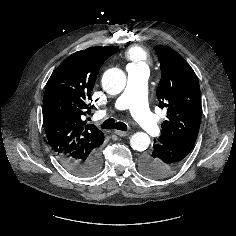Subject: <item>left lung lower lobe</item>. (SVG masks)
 Wrapping results in <instances>:
<instances>
[{
    "mask_svg": "<svg viewBox=\"0 0 236 236\" xmlns=\"http://www.w3.org/2000/svg\"><path fill=\"white\" fill-rule=\"evenodd\" d=\"M195 142L179 141L170 144L155 143L150 153L141 159L143 172L155 179L168 177L184 163Z\"/></svg>",
    "mask_w": 236,
    "mask_h": 236,
    "instance_id": "obj_1",
    "label": "left lung lower lobe"
}]
</instances>
